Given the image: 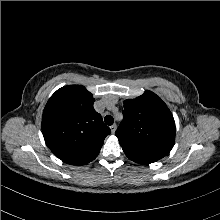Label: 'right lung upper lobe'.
Here are the masks:
<instances>
[{
    "label": "right lung upper lobe",
    "instance_id": "1",
    "mask_svg": "<svg viewBox=\"0 0 220 220\" xmlns=\"http://www.w3.org/2000/svg\"><path fill=\"white\" fill-rule=\"evenodd\" d=\"M93 103L92 94L82 85L64 86L48 100L42 116V133L47 146L63 162H91L111 133Z\"/></svg>",
    "mask_w": 220,
    "mask_h": 220
}]
</instances>
